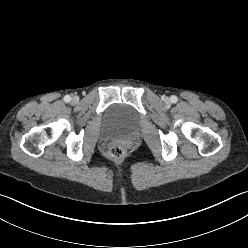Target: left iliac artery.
Returning <instances> with one entry per match:
<instances>
[{
  "label": "left iliac artery",
  "mask_w": 248,
  "mask_h": 248,
  "mask_svg": "<svg viewBox=\"0 0 248 248\" xmlns=\"http://www.w3.org/2000/svg\"><path fill=\"white\" fill-rule=\"evenodd\" d=\"M178 101V98L176 96H171V102L176 103Z\"/></svg>",
  "instance_id": "44dca946"
}]
</instances>
